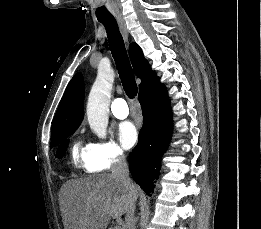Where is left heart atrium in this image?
<instances>
[{
  "mask_svg": "<svg viewBox=\"0 0 261 229\" xmlns=\"http://www.w3.org/2000/svg\"><path fill=\"white\" fill-rule=\"evenodd\" d=\"M118 137L124 148L129 149L133 147L138 140L136 126L130 121L121 123L118 128Z\"/></svg>",
  "mask_w": 261,
  "mask_h": 229,
  "instance_id": "39dd6f15",
  "label": "left heart atrium"
}]
</instances>
